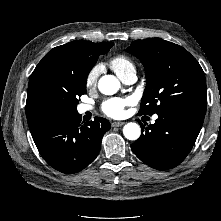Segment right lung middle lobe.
Listing matches in <instances>:
<instances>
[{"instance_id":"right-lung-middle-lobe-1","label":"right lung middle lobe","mask_w":221,"mask_h":221,"mask_svg":"<svg viewBox=\"0 0 221 221\" xmlns=\"http://www.w3.org/2000/svg\"><path fill=\"white\" fill-rule=\"evenodd\" d=\"M113 43L91 47L77 54L68 67L60 74L61 88L55 90L50 101V110L76 113L78 98L86 94L87 76L100 54H105Z\"/></svg>"}]
</instances>
